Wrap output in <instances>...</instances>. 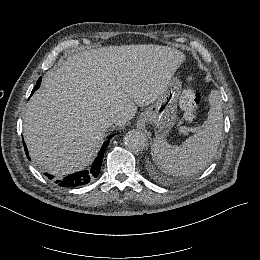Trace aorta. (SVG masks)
I'll return each mask as SVG.
<instances>
[{
	"instance_id": "1",
	"label": "aorta",
	"mask_w": 260,
	"mask_h": 260,
	"mask_svg": "<svg viewBox=\"0 0 260 260\" xmlns=\"http://www.w3.org/2000/svg\"><path fill=\"white\" fill-rule=\"evenodd\" d=\"M147 136L145 133L137 130H132L126 133L124 137L125 146L132 152H138L147 146Z\"/></svg>"
}]
</instances>
